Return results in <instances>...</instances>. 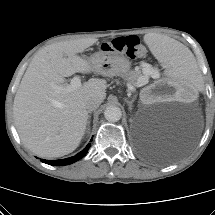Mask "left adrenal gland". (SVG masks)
I'll use <instances>...</instances> for the list:
<instances>
[{
    "instance_id": "1",
    "label": "left adrenal gland",
    "mask_w": 215,
    "mask_h": 215,
    "mask_svg": "<svg viewBox=\"0 0 215 215\" xmlns=\"http://www.w3.org/2000/svg\"><path fill=\"white\" fill-rule=\"evenodd\" d=\"M125 101H126V103H127L128 107H129V110L131 111V110H132V107H133L134 99H133V100H131V101H129V100H127V99H125Z\"/></svg>"
}]
</instances>
